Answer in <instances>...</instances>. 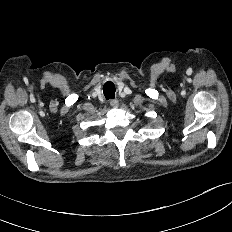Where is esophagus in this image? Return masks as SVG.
Segmentation results:
<instances>
[{"instance_id": "34e87169", "label": "esophagus", "mask_w": 232, "mask_h": 232, "mask_svg": "<svg viewBox=\"0 0 232 232\" xmlns=\"http://www.w3.org/2000/svg\"><path fill=\"white\" fill-rule=\"evenodd\" d=\"M110 105H111V107L116 108L119 105V101L117 99H111Z\"/></svg>"}]
</instances>
